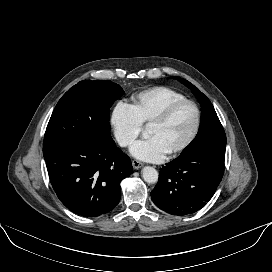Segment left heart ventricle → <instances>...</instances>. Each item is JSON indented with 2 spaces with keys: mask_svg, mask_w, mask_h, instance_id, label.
Here are the masks:
<instances>
[{
  "mask_svg": "<svg viewBox=\"0 0 272 272\" xmlns=\"http://www.w3.org/2000/svg\"><path fill=\"white\" fill-rule=\"evenodd\" d=\"M195 122L194 110L184 106L162 124H150L148 135L159 138L167 153L180 146L190 135Z\"/></svg>",
  "mask_w": 272,
  "mask_h": 272,
  "instance_id": "left-heart-ventricle-1",
  "label": "left heart ventricle"
}]
</instances>
